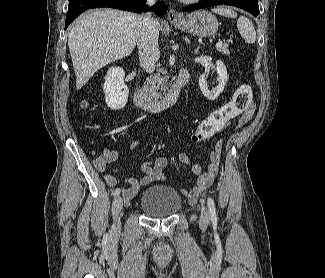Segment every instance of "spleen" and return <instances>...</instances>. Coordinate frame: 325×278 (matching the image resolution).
Instances as JSON below:
<instances>
[{
    "label": "spleen",
    "instance_id": "3e777b00",
    "mask_svg": "<svg viewBox=\"0 0 325 278\" xmlns=\"http://www.w3.org/2000/svg\"><path fill=\"white\" fill-rule=\"evenodd\" d=\"M214 13L219 15L236 18L237 13L228 7H217L212 9ZM237 28L241 36L245 39V41L249 44H253L256 41V31L252 24V22L245 16H240L237 20Z\"/></svg>",
    "mask_w": 325,
    "mask_h": 278
}]
</instances>
